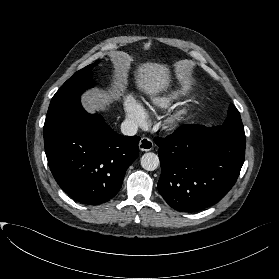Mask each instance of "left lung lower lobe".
Here are the masks:
<instances>
[{"label":"left lung lower lobe","instance_id":"left-lung-lower-lobe-1","mask_svg":"<svg viewBox=\"0 0 279 279\" xmlns=\"http://www.w3.org/2000/svg\"><path fill=\"white\" fill-rule=\"evenodd\" d=\"M155 143L160 147L158 190L178 211L216 204L233 187L244 163L245 134L223 125H182Z\"/></svg>","mask_w":279,"mask_h":279}]
</instances>
